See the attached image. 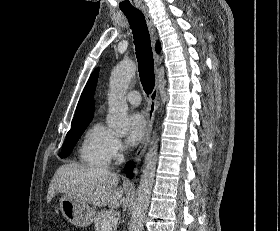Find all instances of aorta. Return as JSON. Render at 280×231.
I'll return each instance as SVG.
<instances>
[{
  "label": "aorta",
  "mask_w": 280,
  "mask_h": 231,
  "mask_svg": "<svg viewBox=\"0 0 280 231\" xmlns=\"http://www.w3.org/2000/svg\"><path fill=\"white\" fill-rule=\"evenodd\" d=\"M137 66L132 60L121 62L113 68L109 80L108 116L106 123L116 131L117 135L127 133L130 129L126 90L135 76ZM158 161L157 141H152L148 153L145 155L138 193L133 207L129 231H142L144 217L150 203L151 191L154 183L156 165Z\"/></svg>",
  "instance_id": "762f6f07"
}]
</instances>
